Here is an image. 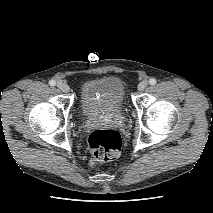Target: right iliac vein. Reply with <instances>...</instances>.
Masks as SVG:
<instances>
[{
  "label": "right iliac vein",
  "mask_w": 213,
  "mask_h": 213,
  "mask_svg": "<svg viewBox=\"0 0 213 213\" xmlns=\"http://www.w3.org/2000/svg\"><path fill=\"white\" fill-rule=\"evenodd\" d=\"M57 87L59 90H61L62 92H68L69 91V86L67 83L65 82H58L57 83Z\"/></svg>",
  "instance_id": "obj_1"
}]
</instances>
